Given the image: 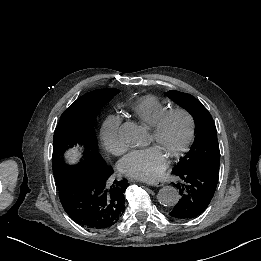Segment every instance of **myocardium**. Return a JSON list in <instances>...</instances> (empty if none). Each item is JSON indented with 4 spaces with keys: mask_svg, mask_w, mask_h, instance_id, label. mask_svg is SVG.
<instances>
[{
    "mask_svg": "<svg viewBox=\"0 0 261 261\" xmlns=\"http://www.w3.org/2000/svg\"><path fill=\"white\" fill-rule=\"evenodd\" d=\"M176 115L182 116L187 121L188 131L181 145L169 154L168 159L170 161H174L182 157L193 145L197 133V123L195 117L189 110L183 107H174L167 109L155 120L154 123L147 125V127L156 136L163 130L168 120Z\"/></svg>",
    "mask_w": 261,
    "mask_h": 261,
    "instance_id": "myocardium-1",
    "label": "myocardium"
}]
</instances>
